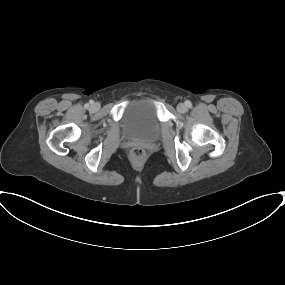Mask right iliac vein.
I'll use <instances>...</instances> for the list:
<instances>
[{
  "instance_id": "1",
  "label": "right iliac vein",
  "mask_w": 285,
  "mask_h": 285,
  "mask_svg": "<svg viewBox=\"0 0 285 285\" xmlns=\"http://www.w3.org/2000/svg\"><path fill=\"white\" fill-rule=\"evenodd\" d=\"M97 107H98L97 104H93V105L91 106L92 110H96Z\"/></svg>"
}]
</instances>
